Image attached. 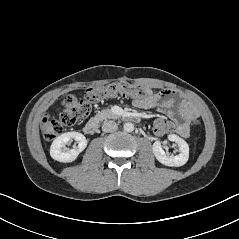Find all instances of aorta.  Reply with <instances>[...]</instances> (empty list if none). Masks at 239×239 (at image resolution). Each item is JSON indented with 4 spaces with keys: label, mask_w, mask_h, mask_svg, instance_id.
Returning <instances> with one entry per match:
<instances>
[{
    "label": "aorta",
    "mask_w": 239,
    "mask_h": 239,
    "mask_svg": "<svg viewBox=\"0 0 239 239\" xmlns=\"http://www.w3.org/2000/svg\"><path fill=\"white\" fill-rule=\"evenodd\" d=\"M123 128L125 132H132L134 130V124L130 122L125 123Z\"/></svg>",
    "instance_id": "1"
}]
</instances>
